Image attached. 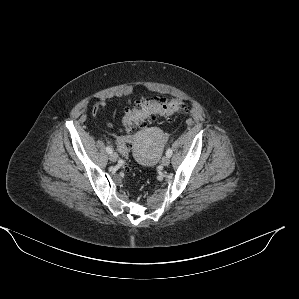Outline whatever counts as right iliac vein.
I'll return each mask as SVG.
<instances>
[{
  "mask_svg": "<svg viewBox=\"0 0 299 299\" xmlns=\"http://www.w3.org/2000/svg\"><path fill=\"white\" fill-rule=\"evenodd\" d=\"M109 159L112 161V162H116L118 160V154L116 152H112L110 153L109 155Z\"/></svg>",
  "mask_w": 299,
  "mask_h": 299,
  "instance_id": "obj_1",
  "label": "right iliac vein"
}]
</instances>
